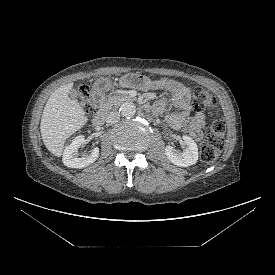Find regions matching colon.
Segmentation results:
<instances>
[{"label":"colon","instance_id":"obj_1","mask_svg":"<svg viewBox=\"0 0 275 275\" xmlns=\"http://www.w3.org/2000/svg\"><path fill=\"white\" fill-rule=\"evenodd\" d=\"M78 99L88 115H92L95 110V103L91 97L90 90L87 87L80 88ZM216 106V98L203 88L194 90V108L197 111L209 110ZM207 140L202 144L200 155L206 163L216 161L224 145L225 127L223 121L215 114L211 116L207 126Z\"/></svg>","mask_w":275,"mask_h":275}]
</instances>
